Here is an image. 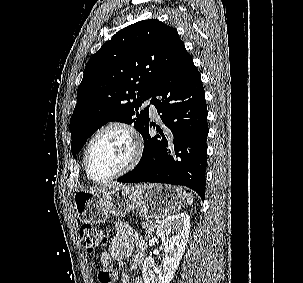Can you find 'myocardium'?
Here are the masks:
<instances>
[{
  "instance_id": "obj_1",
  "label": "myocardium",
  "mask_w": 303,
  "mask_h": 283,
  "mask_svg": "<svg viewBox=\"0 0 303 283\" xmlns=\"http://www.w3.org/2000/svg\"><path fill=\"white\" fill-rule=\"evenodd\" d=\"M109 130L123 131L129 137L131 144H132V154H131L129 161L127 162V164L124 167H122L121 169H119L118 171H116L115 173H113L110 176H107L102 179H97V178H94L90 174V171L88 168V156H89L90 149H91L93 143L95 142V140L100 135H102L103 133H105ZM142 153H143V142H142V139H141L139 133L137 132V130L132 125L127 124L125 122L112 121V122L105 124L100 129H98L94 133V135L90 138V140L85 148V151H84L83 167H84L87 177L90 180H92L93 182H96V183H104V182H108V181L117 179V178L127 174L131 170H133L139 163V161L142 157Z\"/></svg>"
}]
</instances>
